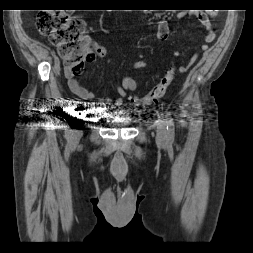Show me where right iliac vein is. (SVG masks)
I'll return each instance as SVG.
<instances>
[{"mask_svg":"<svg viewBox=\"0 0 253 253\" xmlns=\"http://www.w3.org/2000/svg\"><path fill=\"white\" fill-rule=\"evenodd\" d=\"M71 134H72L71 135L72 142L73 143L77 142V140L80 137V133L78 132L77 128H74V125H71Z\"/></svg>","mask_w":253,"mask_h":253,"instance_id":"right-iliac-vein-1","label":"right iliac vein"}]
</instances>
